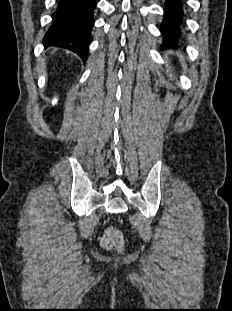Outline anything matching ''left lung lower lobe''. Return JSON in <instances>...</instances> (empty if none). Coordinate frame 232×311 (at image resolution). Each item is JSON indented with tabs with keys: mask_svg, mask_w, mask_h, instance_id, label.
Listing matches in <instances>:
<instances>
[{
	"mask_svg": "<svg viewBox=\"0 0 232 311\" xmlns=\"http://www.w3.org/2000/svg\"><path fill=\"white\" fill-rule=\"evenodd\" d=\"M164 20L161 32L164 36V45L176 44L180 38V24L183 17L181 0H166L164 7Z\"/></svg>",
	"mask_w": 232,
	"mask_h": 311,
	"instance_id": "1",
	"label": "left lung lower lobe"
}]
</instances>
